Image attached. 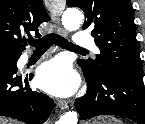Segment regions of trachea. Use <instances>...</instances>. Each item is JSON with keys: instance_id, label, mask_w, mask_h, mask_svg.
<instances>
[{"instance_id": "3493384b", "label": "trachea", "mask_w": 145, "mask_h": 124, "mask_svg": "<svg viewBox=\"0 0 145 124\" xmlns=\"http://www.w3.org/2000/svg\"><path fill=\"white\" fill-rule=\"evenodd\" d=\"M27 42L31 46L35 47V51H46L54 43L64 49L86 51L84 48L74 45L73 43H71L67 39H65L64 37H62L58 34H55V33L47 34L44 37L39 38V39H28Z\"/></svg>"}]
</instances>
